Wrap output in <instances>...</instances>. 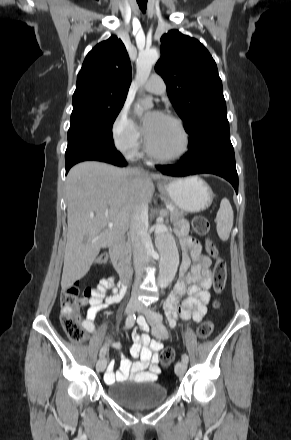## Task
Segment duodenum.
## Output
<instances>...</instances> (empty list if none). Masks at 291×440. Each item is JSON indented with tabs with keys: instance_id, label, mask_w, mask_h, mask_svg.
<instances>
[{
	"instance_id": "1",
	"label": "duodenum",
	"mask_w": 291,
	"mask_h": 440,
	"mask_svg": "<svg viewBox=\"0 0 291 440\" xmlns=\"http://www.w3.org/2000/svg\"><path fill=\"white\" fill-rule=\"evenodd\" d=\"M124 246L125 239L118 237L112 241L108 247V250L117 270L119 271L121 283L126 285L130 279L131 269Z\"/></svg>"
}]
</instances>
